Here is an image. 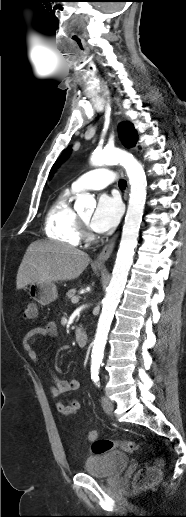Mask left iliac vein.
Returning a JSON list of instances; mask_svg holds the SVG:
<instances>
[{"instance_id": "left-iliac-vein-1", "label": "left iliac vein", "mask_w": 186, "mask_h": 517, "mask_svg": "<svg viewBox=\"0 0 186 517\" xmlns=\"http://www.w3.org/2000/svg\"><path fill=\"white\" fill-rule=\"evenodd\" d=\"M103 410L110 416L113 415L114 404L113 402L106 396H103L101 399Z\"/></svg>"}]
</instances>
